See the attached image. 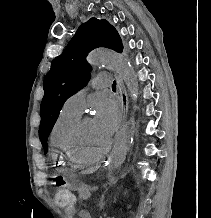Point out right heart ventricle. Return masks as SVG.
I'll use <instances>...</instances> for the list:
<instances>
[{"instance_id":"1","label":"right heart ventricle","mask_w":211,"mask_h":218,"mask_svg":"<svg viewBox=\"0 0 211 218\" xmlns=\"http://www.w3.org/2000/svg\"><path fill=\"white\" fill-rule=\"evenodd\" d=\"M80 116L81 114L65 106L60 110L51 133L53 145L50 147V162H52L53 169H81V164H74V160H71L68 143L69 132ZM93 162L95 161L84 163Z\"/></svg>"}]
</instances>
